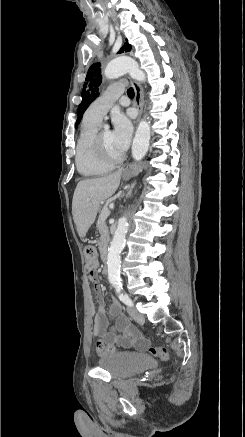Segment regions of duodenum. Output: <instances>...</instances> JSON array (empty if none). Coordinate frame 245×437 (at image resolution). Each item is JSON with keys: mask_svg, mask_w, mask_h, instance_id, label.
Here are the masks:
<instances>
[{"mask_svg": "<svg viewBox=\"0 0 245 437\" xmlns=\"http://www.w3.org/2000/svg\"><path fill=\"white\" fill-rule=\"evenodd\" d=\"M101 259H102V261L104 262V263H106L107 262V260H108V250H107V248L106 247H102L101 248ZM107 266L105 265L104 267H103V274L104 275H106L107 274Z\"/></svg>", "mask_w": 245, "mask_h": 437, "instance_id": "1", "label": "duodenum"}]
</instances>
